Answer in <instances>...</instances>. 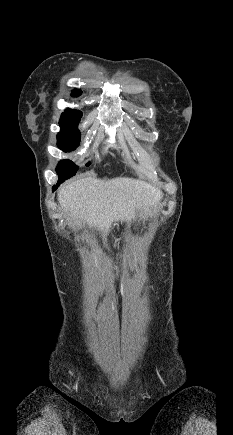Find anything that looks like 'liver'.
I'll return each mask as SVG.
<instances>
[{
  "mask_svg": "<svg viewBox=\"0 0 233 435\" xmlns=\"http://www.w3.org/2000/svg\"><path fill=\"white\" fill-rule=\"evenodd\" d=\"M162 191L141 180L85 177L59 189L61 208L77 223L108 232L114 222H131L137 211H149L162 199Z\"/></svg>",
  "mask_w": 233,
  "mask_h": 435,
  "instance_id": "obj_1",
  "label": "liver"
}]
</instances>
